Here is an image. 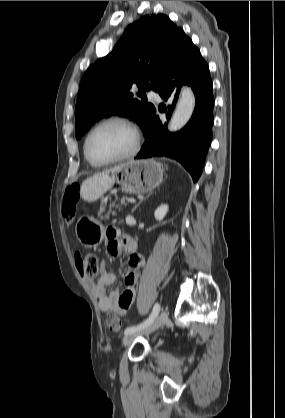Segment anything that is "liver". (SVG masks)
I'll list each match as a JSON object with an SVG mask.
<instances>
[{"instance_id": "obj_1", "label": "liver", "mask_w": 285, "mask_h": 418, "mask_svg": "<svg viewBox=\"0 0 285 418\" xmlns=\"http://www.w3.org/2000/svg\"><path fill=\"white\" fill-rule=\"evenodd\" d=\"M119 166L85 179L81 185L80 195L86 201H95L103 196L115 183L113 173ZM111 173V175H110Z\"/></svg>"}]
</instances>
